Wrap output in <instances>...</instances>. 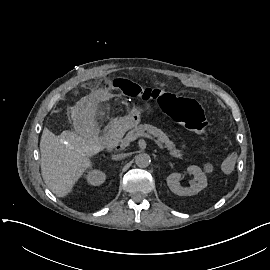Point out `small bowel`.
<instances>
[{
	"mask_svg": "<svg viewBox=\"0 0 270 270\" xmlns=\"http://www.w3.org/2000/svg\"><path fill=\"white\" fill-rule=\"evenodd\" d=\"M99 92V94L100 95H102V96H106L109 92H108V90H100V91H98Z\"/></svg>",
	"mask_w": 270,
	"mask_h": 270,
	"instance_id": "1",
	"label": "small bowel"
}]
</instances>
